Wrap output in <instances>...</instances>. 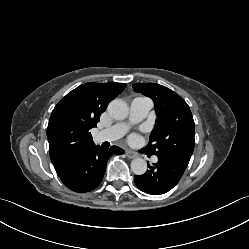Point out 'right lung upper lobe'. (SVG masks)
I'll return each mask as SVG.
<instances>
[{
    "instance_id": "1",
    "label": "right lung upper lobe",
    "mask_w": 249,
    "mask_h": 249,
    "mask_svg": "<svg viewBox=\"0 0 249 249\" xmlns=\"http://www.w3.org/2000/svg\"><path fill=\"white\" fill-rule=\"evenodd\" d=\"M125 87V83H86L55 106L47 137L50 158L58 175L94 144L90 129L96 127L109 102Z\"/></svg>"
}]
</instances>
